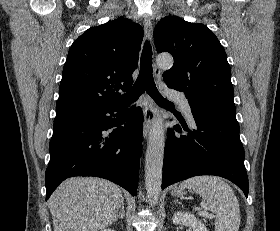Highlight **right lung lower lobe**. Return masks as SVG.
Wrapping results in <instances>:
<instances>
[{
    "instance_id": "right-lung-lower-lobe-1",
    "label": "right lung lower lobe",
    "mask_w": 280,
    "mask_h": 231,
    "mask_svg": "<svg viewBox=\"0 0 280 231\" xmlns=\"http://www.w3.org/2000/svg\"><path fill=\"white\" fill-rule=\"evenodd\" d=\"M114 126L117 129L109 136L102 133ZM142 129V109H128L124 103L54 121L46 200L63 180L73 176L105 178L136 195Z\"/></svg>"
}]
</instances>
